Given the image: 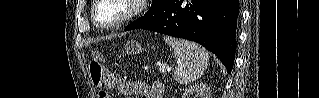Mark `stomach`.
<instances>
[{"instance_id": "stomach-1", "label": "stomach", "mask_w": 319, "mask_h": 98, "mask_svg": "<svg viewBox=\"0 0 319 98\" xmlns=\"http://www.w3.org/2000/svg\"><path fill=\"white\" fill-rule=\"evenodd\" d=\"M125 50L127 54H139L141 53L144 49L142 47V45L136 41V40H131L129 42H127L126 46H125Z\"/></svg>"}]
</instances>
